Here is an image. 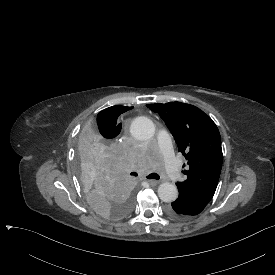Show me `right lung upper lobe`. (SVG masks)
<instances>
[{
	"label": "right lung upper lobe",
	"mask_w": 275,
	"mask_h": 275,
	"mask_svg": "<svg viewBox=\"0 0 275 275\" xmlns=\"http://www.w3.org/2000/svg\"><path fill=\"white\" fill-rule=\"evenodd\" d=\"M132 108L133 107L117 105L101 111L97 117V123L101 129V135L106 139L116 137L121 131V123L117 122V118L120 114Z\"/></svg>",
	"instance_id": "1"
}]
</instances>
